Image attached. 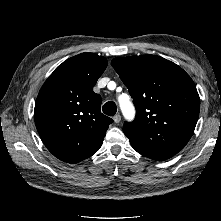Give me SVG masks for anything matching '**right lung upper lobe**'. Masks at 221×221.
<instances>
[{"label": "right lung upper lobe", "instance_id": "obj_1", "mask_svg": "<svg viewBox=\"0 0 221 221\" xmlns=\"http://www.w3.org/2000/svg\"><path fill=\"white\" fill-rule=\"evenodd\" d=\"M107 60L82 53L59 65L43 84L34 110L35 125L47 149L58 159L77 163L101 147L113 120L100 111L93 92Z\"/></svg>", "mask_w": 221, "mask_h": 221}]
</instances>
